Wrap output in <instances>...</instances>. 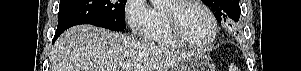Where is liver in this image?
Instances as JSON below:
<instances>
[{"label":"liver","mask_w":301,"mask_h":71,"mask_svg":"<svg viewBox=\"0 0 301 71\" xmlns=\"http://www.w3.org/2000/svg\"><path fill=\"white\" fill-rule=\"evenodd\" d=\"M190 53L140 42L92 25L66 30L55 42L49 71H168ZM129 65V68L123 66Z\"/></svg>","instance_id":"1"}]
</instances>
